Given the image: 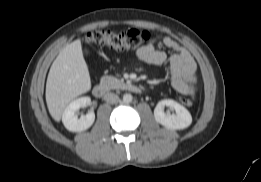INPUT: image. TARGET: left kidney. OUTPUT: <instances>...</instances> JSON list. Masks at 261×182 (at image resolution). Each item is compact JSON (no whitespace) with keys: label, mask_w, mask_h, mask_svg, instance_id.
<instances>
[{"label":"left kidney","mask_w":261,"mask_h":182,"mask_svg":"<svg viewBox=\"0 0 261 182\" xmlns=\"http://www.w3.org/2000/svg\"><path fill=\"white\" fill-rule=\"evenodd\" d=\"M165 106L174 109L176 114L165 113ZM154 118L156 122L171 130H182L189 127L192 123V117L189 111L184 106L171 99H165L158 102L154 109Z\"/></svg>","instance_id":"1"}]
</instances>
